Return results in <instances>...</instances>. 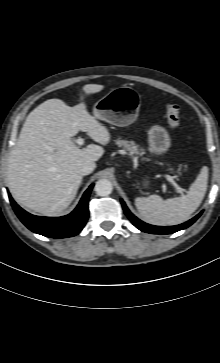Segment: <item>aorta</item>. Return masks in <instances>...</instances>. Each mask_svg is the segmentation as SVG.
<instances>
[{"label":"aorta","instance_id":"aorta-1","mask_svg":"<svg viewBox=\"0 0 220 363\" xmlns=\"http://www.w3.org/2000/svg\"><path fill=\"white\" fill-rule=\"evenodd\" d=\"M94 190L97 195L104 197L111 194L113 186L110 180L99 179L95 184Z\"/></svg>","mask_w":220,"mask_h":363}]
</instances>
